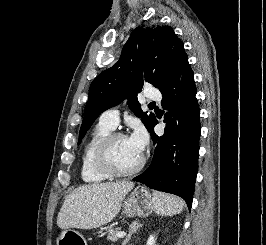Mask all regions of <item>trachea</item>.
<instances>
[{"label":"trachea","instance_id":"3493384b","mask_svg":"<svg viewBox=\"0 0 266 245\" xmlns=\"http://www.w3.org/2000/svg\"><path fill=\"white\" fill-rule=\"evenodd\" d=\"M149 105H156V103L155 102H151Z\"/></svg>","mask_w":266,"mask_h":245}]
</instances>
